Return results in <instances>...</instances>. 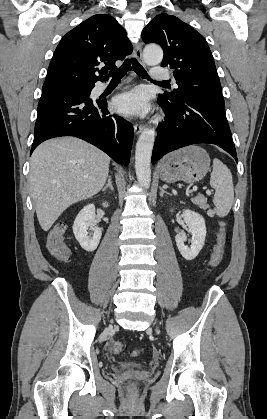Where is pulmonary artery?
I'll use <instances>...</instances> for the list:
<instances>
[{
	"mask_svg": "<svg viewBox=\"0 0 267 419\" xmlns=\"http://www.w3.org/2000/svg\"><path fill=\"white\" fill-rule=\"evenodd\" d=\"M151 75H152V78L155 80H166L170 78L169 73L166 70L161 69V68H153L151 71ZM174 86H177V84L174 83ZM105 88H106L105 85L101 86V90H104Z\"/></svg>",
	"mask_w": 267,
	"mask_h": 419,
	"instance_id": "1",
	"label": "pulmonary artery"
}]
</instances>
